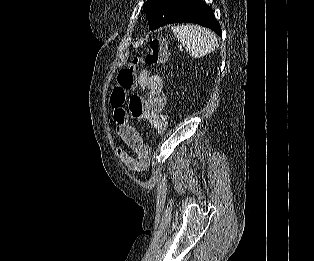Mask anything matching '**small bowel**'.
Instances as JSON below:
<instances>
[{"instance_id":"1","label":"small bowel","mask_w":314,"mask_h":261,"mask_svg":"<svg viewBox=\"0 0 314 261\" xmlns=\"http://www.w3.org/2000/svg\"><path fill=\"white\" fill-rule=\"evenodd\" d=\"M138 85L147 89L146 97L134 96L128 102L113 103V120L116 132L130 153L124 149L118 150V156L128 171L144 172L150 164V148L144 143L139 131L130 123V118L146 120L152 127L160 122V113L165 107L166 96L163 91L164 83L161 76L147 69L138 73Z\"/></svg>"}]
</instances>
